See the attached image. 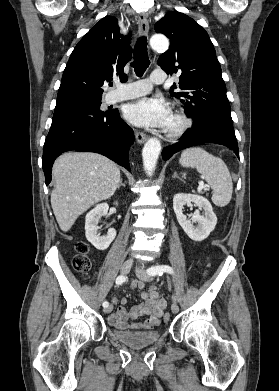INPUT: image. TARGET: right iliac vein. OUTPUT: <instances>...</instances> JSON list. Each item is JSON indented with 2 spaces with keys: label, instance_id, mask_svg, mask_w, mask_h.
Here are the masks:
<instances>
[{
  "label": "right iliac vein",
  "instance_id": "right-iliac-vein-1",
  "mask_svg": "<svg viewBox=\"0 0 279 391\" xmlns=\"http://www.w3.org/2000/svg\"><path fill=\"white\" fill-rule=\"evenodd\" d=\"M132 264H133L132 259H127L126 261H124V263L121 266V274L127 275L132 267ZM112 309H113V306L109 305V306L105 307L103 311H104V313H110L112 311Z\"/></svg>",
  "mask_w": 279,
  "mask_h": 391
}]
</instances>
